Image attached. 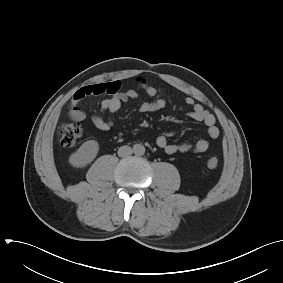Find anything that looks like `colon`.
Here are the masks:
<instances>
[{"label": "colon", "mask_w": 283, "mask_h": 283, "mask_svg": "<svg viewBox=\"0 0 283 283\" xmlns=\"http://www.w3.org/2000/svg\"><path fill=\"white\" fill-rule=\"evenodd\" d=\"M82 124L78 121L63 123L59 127L60 142L64 147H72L82 135ZM206 166L209 169H216L219 166V160L216 157H210L206 160Z\"/></svg>", "instance_id": "obj_1"}]
</instances>
